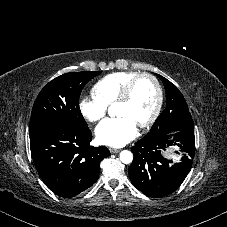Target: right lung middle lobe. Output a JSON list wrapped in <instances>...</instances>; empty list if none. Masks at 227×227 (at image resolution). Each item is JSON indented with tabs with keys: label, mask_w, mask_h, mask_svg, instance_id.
I'll list each match as a JSON object with an SVG mask.
<instances>
[{
	"label": "right lung middle lobe",
	"mask_w": 227,
	"mask_h": 227,
	"mask_svg": "<svg viewBox=\"0 0 227 227\" xmlns=\"http://www.w3.org/2000/svg\"><path fill=\"white\" fill-rule=\"evenodd\" d=\"M101 72L63 74L50 81L37 96L30 119V135L53 125L88 128L79 108L84 85Z\"/></svg>",
	"instance_id": "dd1d6c3e"
}]
</instances>
